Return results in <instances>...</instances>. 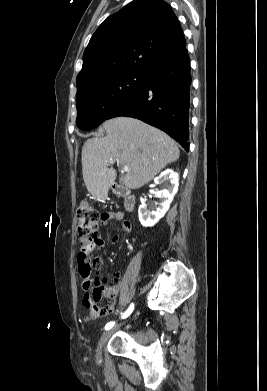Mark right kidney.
<instances>
[{
  "label": "right kidney",
  "mask_w": 267,
  "mask_h": 391,
  "mask_svg": "<svg viewBox=\"0 0 267 391\" xmlns=\"http://www.w3.org/2000/svg\"><path fill=\"white\" fill-rule=\"evenodd\" d=\"M154 182L155 184L165 183V188L155 192L160 199L156 203V211H148L144 204L139 206V221L144 227L154 226L168 211L173 197L178 191L179 174L171 169H167L156 177ZM150 192L153 193V191Z\"/></svg>",
  "instance_id": "ca27d5eb"
}]
</instances>
